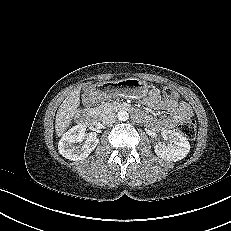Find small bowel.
Returning a JSON list of instances; mask_svg holds the SVG:
<instances>
[{"label":"small bowel","instance_id":"small-bowel-1","mask_svg":"<svg viewBox=\"0 0 231 231\" xmlns=\"http://www.w3.org/2000/svg\"><path fill=\"white\" fill-rule=\"evenodd\" d=\"M145 104L154 110L168 113L161 119L152 116L144 117V121L156 131H164L174 128L180 121L192 117V110L186 102H178L176 99H163L158 89L150 91L145 99Z\"/></svg>","mask_w":231,"mask_h":231}]
</instances>
